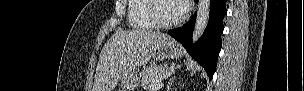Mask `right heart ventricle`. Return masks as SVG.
<instances>
[{
    "label": "right heart ventricle",
    "instance_id": "right-heart-ventricle-1",
    "mask_svg": "<svg viewBox=\"0 0 304 91\" xmlns=\"http://www.w3.org/2000/svg\"><path fill=\"white\" fill-rule=\"evenodd\" d=\"M127 20L131 28L149 30L155 28L148 15L149 0H129Z\"/></svg>",
    "mask_w": 304,
    "mask_h": 91
}]
</instances>
